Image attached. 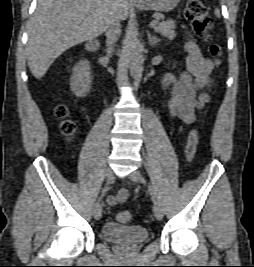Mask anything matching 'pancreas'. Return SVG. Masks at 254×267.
<instances>
[{
    "mask_svg": "<svg viewBox=\"0 0 254 267\" xmlns=\"http://www.w3.org/2000/svg\"><path fill=\"white\" fill-rule=\"evenodd\" d=\"M155 19L157 21L162 20V22L158 23V25L155 26V31L158 33H161L164 37L168 39H174L176 37V25L174 20H163L162 14H155Z\"/></svg>",
    "mask_w": 254,
    "mask_h": 267,
    "instance_id": "1",
    "label": "pancreas"
}]
</instances>
